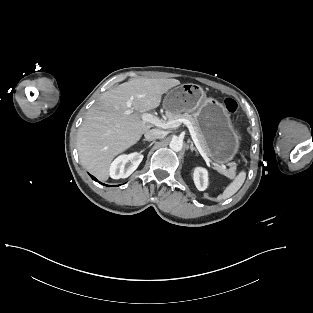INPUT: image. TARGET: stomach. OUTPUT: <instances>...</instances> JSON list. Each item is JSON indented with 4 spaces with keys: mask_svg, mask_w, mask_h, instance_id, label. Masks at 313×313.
<instances>
[{
    "mask_svg": "<svg viewBox=\"0 0 313 313\" xmlns=\"http://www.w3.org/2000/svg\"><path fill=\"white\" fill-rule=\"evenodd\" d=\"M167 115L193 113L199 125L208 155L216 165L231 161L240 147L230 114L215 98L207 97L201 86L186 83L167 92L164 99Z\"/></svg>",
    "mask_w": 313,
    "mask_h": 313,
    "instance_id": "1",
    "label": "stomach"
}]
</instances>
